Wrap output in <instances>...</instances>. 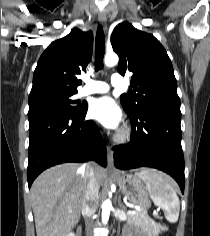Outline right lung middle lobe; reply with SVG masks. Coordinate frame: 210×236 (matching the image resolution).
<instances>
[{
    "mask_svg": "<svg viewBox=\"0 0 210 236\" xmlns=\"http://www.w3.org/2000/svg\"><path fill=\"white\" fill-rule=\"evenodd\" d=\"M75 93L50 91L38 95L34 100L29 101L28 118L51 113L63 112L71 114H81L86 111V105L71 106V104L78 103L72 100L71 96Z\"/></svg>",
    "mask_w": 210,
    "mask_h": 236,
    "instance_id": "1",
    "label": "right lung middle lobe"
}]
</instances>
